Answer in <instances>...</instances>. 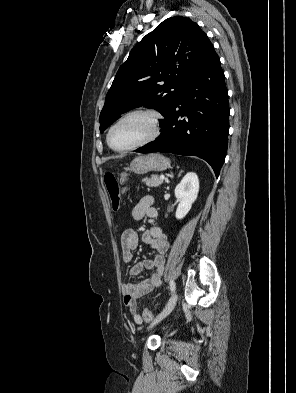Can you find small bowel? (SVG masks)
<instances>
[{
	"label": "small bowel",
	"mask_w": 296,
	"mask_h": 393,
	"mask_svg": "<svg viewBox=\"0 0 296 393\" xmlns=\"http://www.w3.org/2000/svg\"><path fill=\"white\" fill-rule=\"evenodd\" d=\"M134 220L146 218L153 222L157 216L156 209L152 206V199L144 197L131 210ZM144 244L154 249L157 254L153 259H143L133 265L130 269L131 276H138L144 268L152 269L154 272L150 278L141 280L137 283L126 282L122 285L123 301L128 308L129 315L138 324L142 323V318L137 312V300L145 294L161 286L162 275L165 265V254L169 250V241L162 230L155 225L145 230L141 236ZM139 238L134 229H126L120 237L122 257L125 262H131L133 252L137 249Z\"/></svg>",
	"instance_id": "1"
}]
</instances>
